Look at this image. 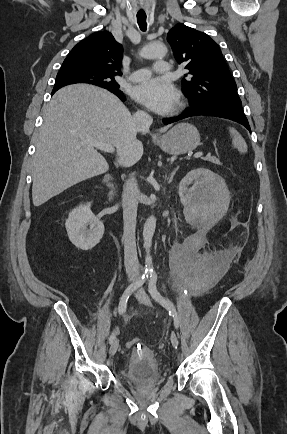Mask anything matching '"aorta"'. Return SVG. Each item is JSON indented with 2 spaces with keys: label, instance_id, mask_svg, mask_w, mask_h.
Wrapping results in <instances>:
<instances>
[{
  "label": "aorta",
  "instance_id": "1",
  "mask_svg": "<svg viewBox=\"0 0 287 434\" xmlns=\"http://www.w3.org/2000/svg\"><path fill=\"white\" fill-rule=\"evenodd\" d=\"M167 53V48L163 43L155 42L149 45H146L141 51L140 56L145 59H154L164 57ZM156 228V218L154 216H150L145 224L143 230V241L144 248L146 250L145 257V272L151 273L153 272V264L152 258L150 256V247L152 245V238Z\"/></svg>",
  "mask_w": 287,
  "mask_h": 434
}]
</instances>
